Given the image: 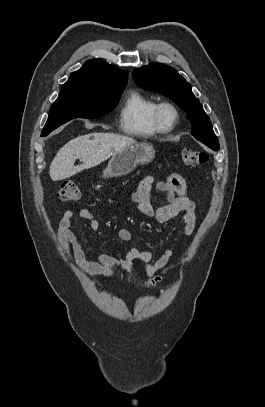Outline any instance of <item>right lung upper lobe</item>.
Returning a JSON list of instances; mask_svg holds the SVG:
<instances>
[{"label": "right lung upper lobe", "instance_id": "cb5924a9", "mask_svg": "<svg viewBox=\"0 0 265 407\" xmlns=\"http://www.w3.org/2000/svg\"><path fill=\"white\" fill-rule=\"evenodd\" d=\"M128 73L100 59H91L70 75L71 81H96L110 84H127Z\"/></svg>", "mask_w": 265, "mask_h": 407}]
</instances>
